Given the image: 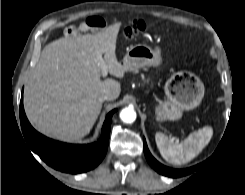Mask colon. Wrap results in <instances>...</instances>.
I'll return each mask as SVG.
<instances>
[{
  "label": "colon",
  "mask_w": 245,
  "mask_h": 195,
  "mask_svg": "<svg viewBox=\"0 0 245 195\" xmlns=\"http://www.w3.org/2000/svg\"><path fill=\"white\" fill-rule=\"evenodd\" d=\"M145 25L143 22L138 21L134 23L128 30L126 31V37L132 38L133 36L137 35L138 33L144 31Z\"/></svg>",
  "instance_id": "obj_1"
}]
</instances>
